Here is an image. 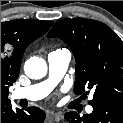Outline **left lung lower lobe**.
Here are the masks:
<instances>
[{
    "label": "left lung lower lobe",
    "mask_w": 123,
    "mask_h": 123,
    "mask_svg": "<svg viewBox=\"0 0 123 123\" xmlns=\"http://www.w3.org/2000/svg\"><path fill=\"white\" fill-rule=\"evenodd\" d=\"M64 117L70 123H123V104L105 101L93 106L91 114L80 117L76 112H68Z\"/></svg>",
    "instance_id": "left-lung-lower-lobe-1"
}]
</instances>
